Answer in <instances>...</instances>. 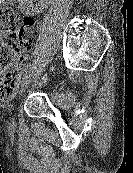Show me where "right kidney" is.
<instances>
[{"instance_id":"right-kidney-1","label":"right kidney","mask_w":133,"mask_h":173,"mask_svg":"<svg viewBox=\"0 0 133 173\" xmlns=\"http://www.w3.org/2000/svg\"><path fill=\"white\" fill-rule=\"evenodd\" d=\"M19 7L21 10L31 13H36L38 11L39 5H34L32 2L33 0H18ZM46 0H39L41 4H43Z\"/></svg>"}]
</instances>
